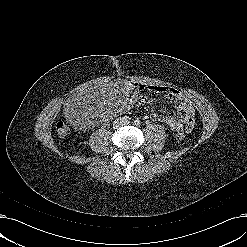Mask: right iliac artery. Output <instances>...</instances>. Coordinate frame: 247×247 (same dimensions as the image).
<instances>
[{
  "instance_id": "1",
  "label": "right iliac artery",
  "mask_w": 247,
  "mask_h": 247,
  "mask_svg": "<svg viewBox=\"0 0 247 247\" xmlns=\"http://www.w3.org/2000/svg\"><path fill=\"white\" fill-rule=\"evenodd\" d=\"M124 119H125V120H129L130 118L126 116V117H124Z\"/></svg>"
}]
</instances>
